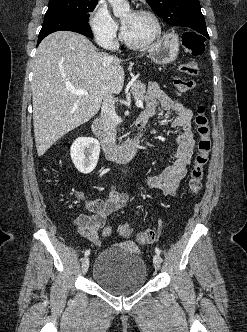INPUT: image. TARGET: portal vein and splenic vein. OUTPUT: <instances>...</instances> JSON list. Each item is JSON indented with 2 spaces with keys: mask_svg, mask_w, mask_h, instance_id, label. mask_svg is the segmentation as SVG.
I'll return each instance as SVG.
<instances>
[{
  "mask_svg": "<svg viewBox=\"0 0 247 332\" xmlns=\"http://www.w3.org/2000/svg\"><path fill=\"white\" fill-rule=\"evenodd\" d=\"M70 92L75 95H79V96H88V94H89L88 91H86V90H78V89H71ZM135 104L137 107H143L142 100H136Z\"/></svg>",
  "mask_w": 247,
  "mask_h": 332,
  "instance_id": "1",
  "label": "portal vein and splenic vein"
}]
</instances>
